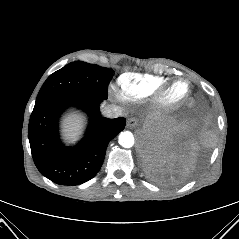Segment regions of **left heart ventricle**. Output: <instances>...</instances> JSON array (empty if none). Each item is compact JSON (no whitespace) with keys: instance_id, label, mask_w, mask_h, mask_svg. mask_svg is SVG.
Returning <instances> with one entry per match:
<instances>
[{"instance_id":"1","label":"left heart ventricle","mask_w":239,"mask_h":239,"mask_svg":"<svg viewBox=\"0 0 239 239\" xmlns=\"http://www.w3.org/2000/svg\"><path fill=\"white\" fill-rule=\"evenodd\" d=\"M184 91H185L184 86H177L172 90L170 97L172 99H177L184 94Z\"/></svg>"}]
</instances>
